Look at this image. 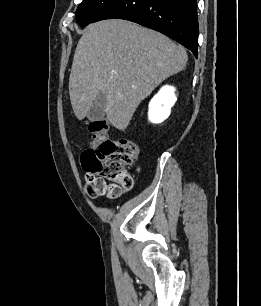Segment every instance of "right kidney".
Returning <instances> with one entry per match:
<instances>
[{
    "label": "right kidney",
    "instance_id": "ca27d5eb",
    "mask_svg": "<svg viewBox=\"0 0 261 306\" xmlns=\"http://www.w3.org/2000/svg\"><path fill=\"white\" fill-rule=\"evenodd\" d=\"M175 88L163 86L149 103L148 117L152 123H161L167 119L171 112V107L177 100Z\"/></svg>",
    "mask_w": 261,
    "mask_h": 306
}]
</instances>
